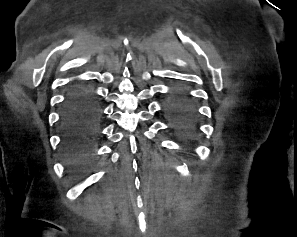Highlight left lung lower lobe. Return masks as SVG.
<instances>
[{
  "label": "left lung lower lobe",
  "mask_w": 297,
  "mask_h": 237,
  "mask_svg": "<svg viewBox=\"0 0 297 237\" xmlns=\"http://www.w3.org/2000/svg\"><path fill=\"white\" fill-rule=\"evenodd\" d=\"M174 118V128L185 136H192L196 132L197 113L192 102L177 100L168 107Z\"/></svg>",
  "instance_id": "1"
}]
</instances>
